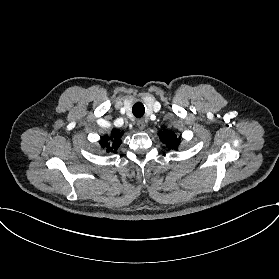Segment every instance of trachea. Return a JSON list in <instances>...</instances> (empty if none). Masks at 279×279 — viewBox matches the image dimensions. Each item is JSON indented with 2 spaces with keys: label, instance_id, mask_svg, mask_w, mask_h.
I'll use <instances>...</instances> for the list:
<instances>
[{
  "label": "trachea",
  "instance_id": "3493384b",
  "mask_svg": "<svg viewBox=\"0 0 279 279\" xmlns=\"http://www.w3.org/2000/svg\"><path fill=\"white\" fill-rule=\"evenodd\" d=\"M133 114L137 117L140 118L144 115L145 109L142 103H136L133 105L132 108Z\"/></svg>",
  "mask_w": 279,
  "mask_h": 279
}]
</instances>
